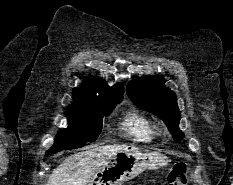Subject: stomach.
Segmentation results:
<instances>
[{
    "label": "stomach",
    "mask_w": 233,
    "mask_h": 185,
    "mask_svg": "<svg viewBox=\"0 0 233 185\" xmlns=\"http://www.w3.org/2000/svg\"><path fill=\"white\" fill-rule=\"evenodd\" d=\"M167 164L168 159L163 154L128 146L113 155L87 185H122L144 170H156Z\"/></svg>",
    "instance_id": "stomach-1"
}]
</instances>
